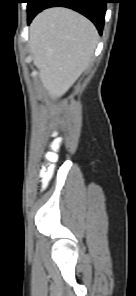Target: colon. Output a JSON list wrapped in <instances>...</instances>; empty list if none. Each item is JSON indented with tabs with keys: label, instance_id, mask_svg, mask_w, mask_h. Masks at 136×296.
I'll return each instance as SVG.
<instances>
[{
	"label": "colon",
	"instance_id": "obj_1",
	"mask_svg": "<svg viewBox=\"0 0 136 296\" xmlns=\"http://www.w3.org/2000/svg\"><path fill=\"white\" fill-rule=\"evenodd\" d=\"M61 143L59 141H55L52 144L53 150H57L60 147ZM52 151L46 154L47 162L41 167L40 176L38 179V186L40 189H43L52 175L54 170V162L57 159L56 153Z\"/></svg>",
	"mask_w": 136,
	"mask_h": 296
}]
</instances>
